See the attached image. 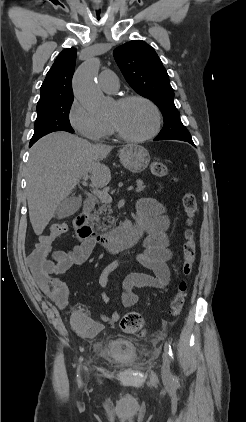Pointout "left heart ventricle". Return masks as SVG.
<instances>
[{
  "instance_id": "b2bd125f",
  "label": "left heart ventricle",
  "mask_w": 246,
  "mask_h": 422,
  "mask_svg": "<svg viewBox=\"0 0 246 422\" xmlns=\"http://www.w3.org/2000/svg\"><path fill=\"white\" fill-rule=\"evenodd\" d=\"M108 120L132 136L149 133L155 124V114L145 103L134 101L125 105L114 104Z\"/></svg>"
}]
</instances>
